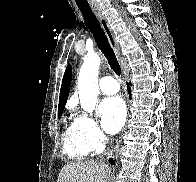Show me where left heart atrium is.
<instances>
[{"instance_id":"obj_1","label":"left heart atrium","mask_w":196,"mask_h":182,"mask_svg":"<svg viewBox=\"0 0 196 182\" xmlns=\"http://www.w3.org/2000/svg\"><path fill=\"white\" fill-rule=\"evenodd\" d=\"M99 113L104 129L111 134L118 132L126 119V107L118 97H108L101 101Z\"/></svg>"}]
</instances>
